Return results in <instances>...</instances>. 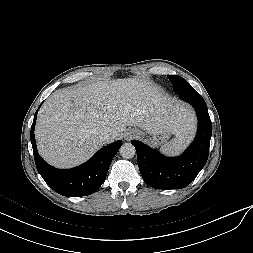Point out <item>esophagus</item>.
I'll use <instances>...</instances> for the list:
<instances>
[{"instance_id":"34e87169","label":"esophagus","mask_w":253,"mask_h":253,"mask_svg":"<svg viewBox=\"0 0 253 253\" xmlns=\"http://www.w3.org/2000/svg\"><path fill=\"white\" fill-rule=\"evenodd\" d=\"M136 136H137V132L135 130H130V131L125 132L124 139L126 141H130L133 138H135Z\"/></svg>"}]
</instances>
